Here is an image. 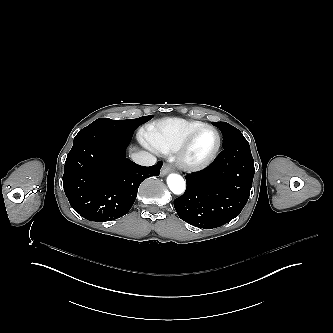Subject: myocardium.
Segmentation results:
<instances>
[{
  "label": "myocardium",
  "mask_w": 333,
  "mask_h": 333,
  "mask_svg": "<svg viewBox=\"0 0 333 333\" xmlns=\"http://www.w3.org/2000/svg\"><path fill=\"white\" fill-rule=\"evenodd\" d=\"M212 129L217 136V144L212 154L202 161H193L188 158V148L192 139L203 129ZM222 145V138L219 130L211 124H203L190 131L181 141L176 151L177 166L186 171H200L209 167L217 158Z\"/></svg>",
  "instance_id": "1"
}]
</instances>
